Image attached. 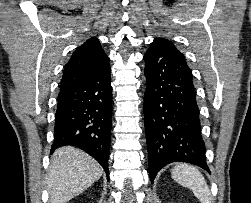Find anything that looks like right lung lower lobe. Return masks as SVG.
Listing matches in <instances>:
<instances>
[{"label":"right lung lower lobe","mask_w":251,"mask_h":203,"mask_svg":"<svg viewBox=\"0 0 251 203\" xmlns=\"http://www.w3.org/2000/svg\"><path fill=\"white\" fill-rule=\"evenodd\" d=\"M51 152L76 146L94 157L109 178L112 87L109 64L57 98Z\"/></svg>","instance_id":"98d812e1"}]
</instances>
